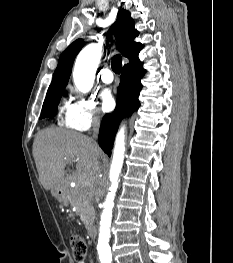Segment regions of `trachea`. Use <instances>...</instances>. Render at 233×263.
Wrapping results in <instances>:
<instances>
[{
	"mask_svg": "<svg viewBox=\"0 0 233 263\" xmlns=\"http://www.w3.org/2000/svg\"><path fill=\"white\" fill-rule=\"evenodd\" d=\"M112 70L116 73L119 74L122 68V57L120 55H115L112 58V63H111Z\"/></svg>",
	"mask_w": 233,
	"mask_h": 263,
	"instance_id": "obj_1",
	"label": "trachea"
}]
</instances>
